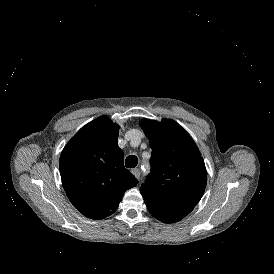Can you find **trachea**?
<instances>
[{"label": "trachea", "instance_id": "trachea-1", "mask_svg": "<svg viewBox=\"0 0 274 274\" xmlns=\"http://www.w3.org/2000/svg\"><path fill=\"white\" fill-rule=\"evenodd\" d=\"M138 164V158L135 155H130L126 158L125 165L127 168H134Z\"/></svg>", "mask_w": 274, "mask_h": 274}]
</instances>
